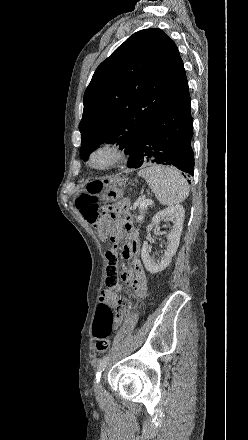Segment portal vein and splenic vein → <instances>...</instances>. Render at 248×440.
Returning a JSON list of instances; mask_svg holds the SVG:
<instances>
[{
  "label": "portal vein and splenic vein",
  "mask_w": 248,
  "mask_h": 440,
  "mask_svg": "<svg viewBox=\"0 0 248 440\" xmlns=\"http://www.w3.org/2000/svg\"><path fill=\"white\" fill-rule=\"evenodd\" d=\"M153 202L150 199H144L141 203V206L151 205Z\"/></svg>",
  "instance_id": "1"
}]
</instances>
